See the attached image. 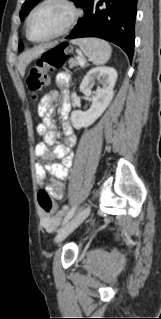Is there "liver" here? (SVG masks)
Wrapping results in <instances>:
<instances>
[{"instance_id":"1","label":"liver","mask_w":161,"mask_h":319,"mask_svg":"<svg viewBox=\"0 0 161 319\" xmlns=\"http://www.w3.org/2000/svg\"><path fill=\"white\" fill-rule=\"evenodd\" d=\"M45 50V46H38L32 50H28L23 52L19 56L18 64H17V69L22 77L25 75V69L29 65V63L40 56Z\"/></svg>"}]
</instances>
